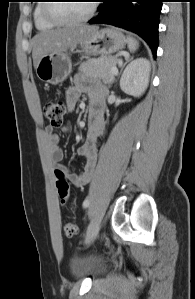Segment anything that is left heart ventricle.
<instances>
[{
	"mask_svg": "<svg viewBox=\"0 0 195 299\" xmlns=\"http://www.w3.org/2000/svg\"><path fill=\"white\" fill-rule=\"evenodd\" d=\"M91 7V1H71L55 3L51 10L58 17L75 19L86 15Z\"/></svg>",
	"mask_w": 195,
	"mask_h": 299,
	"instance_id": "left-heart-ventricle-1",
	"label": "left heart ventricle"
}]
</instances>
